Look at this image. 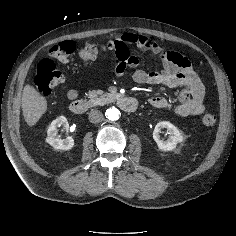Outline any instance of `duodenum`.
Returning a JSON list of instances; mask_svg holds the SVG:
<instances>
[{
  "label": "duodenum",
  "instance_id": "obj_1",
  "mask_svg": "<svg viewBox=\"0 0 236 236\" xmlns=\"http://www.w3.org/2000/svg\"><path fill=\"white\" fill-rule=\"evenodd\" d=\"M118 106L125 112H134L138 107V101L129 96H121L117 99ZM95 103L91 100L76 99L70 104V110L75 114H82L94 107Z\"/></svg>",
  "mask_w": 236,
  "mask_h": 236
}]
</instances>
